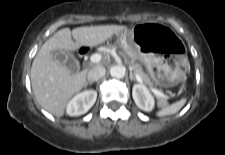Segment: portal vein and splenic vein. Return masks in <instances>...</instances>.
<instances>
[{
	"label": "portal vein and splenic vein",
	"instance_id": "1",
	"mask_svg": "<svg viewBox=\"0 0 225 155\" xmlns=\"http://www.w3.org/2000/svg\"><path fill=\"white\" fill-rule=\"evenodd\" d=\"M101 59H102V56H101V54H98V53H95V54L91 55V57H90V61L92 63H98L101 61ZM136 78L140 83H143V80L140 77V75L136 74ZM151 91L157 96L162 95V93L160 91H158L157 89L151 88Z\"/></svg>",
	"mask_w": 225,
	"mask_h": 155
}]
</instances>
